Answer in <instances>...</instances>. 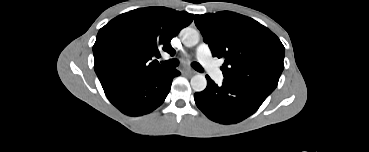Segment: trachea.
<instances>
[{
	"mask_svg": "<svg viewBox=\"0 0 369 152\" xmlns=\"http://www.w3.org/2000/svg\"><path fill=\"white\" fill-rule=\"evenodd\" d=\"M165 67H169V68H175L179 65V61L177 59H170L167 61H162L161 62ZM191 66L198 72H203V68L202 66L197 63V62H192Z\"/></svg>",
	"mask_w": 369,
	"mask_h": 152,
	"instance_id": "trachea-1",
	"label": "trachea"
}]
</instances>
